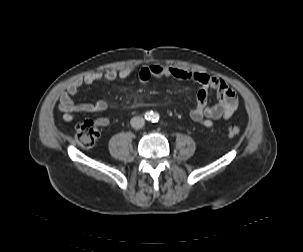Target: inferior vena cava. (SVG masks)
<instances>
[{
	"label": "inferior vena cava",
	"mask_w": 303,
	"mask_h": 252,
	"mask_svg": "<svg viewBox=\"0 0 303 252\" xmlns=\"http://www.w3.org/2000/svg\"><path fill=\"white\" fill-rule=\"evenodd\" d=\"M145 120L143 117L135 116L131 119L130 124L134 129H140L144 126Z\"/></svg>",
	"instance_id": "602c4592"
}]
</instances>
